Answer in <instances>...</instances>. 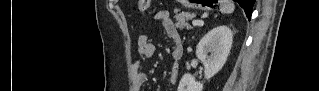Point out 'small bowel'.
<instances>
[{
    "mask_svg": "<svg viewBox=\"0 0 319 91\" xmlns=\"http://www.w3.org/2000/svg\"><path fill=\"white\" fill-rule=\"evenodd\" d=\"M154 19L162 24L166 35L173 41V48L171 51L173 63L169 70V79L171 83L174 84L177 82L179 77L178 60L181 58L183 53L182 41L168 11L157 12L154 15ZM137 46L140 60L133 63L132 75L134 89L140 90L148 82V76L142 70V61L150 59L155 55L156 46L145 35L138 38Z\"/></svg>",
    "mask_w": 319,
    "mask_h": 91,
    "instance_id": "small-bowel-1",
    "label": "small bowel"
}]
</instances>
